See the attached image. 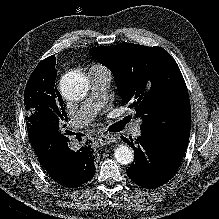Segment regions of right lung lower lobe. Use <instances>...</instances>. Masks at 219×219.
<instances>
[{
  "instance_id": "1",
  "label": "right lung lower lobe",
  "mask_w": 219,
  "mask_h": 219,
  "mask_svg": "<svg viewBox=\"0 0 219 219\" xmlns=\"http://www.w3.org/2000/svg\"><path fill=\"white\" fill-rule=\"evenodd\" d=\"M28 136L40 163L58 184L75 188L94 176L95 156L89 145L71 151L69 139L52 125L31 127Z\"/></svg>"
}]
</instances>
